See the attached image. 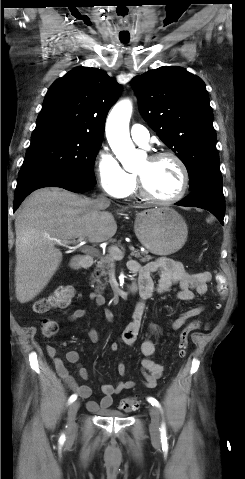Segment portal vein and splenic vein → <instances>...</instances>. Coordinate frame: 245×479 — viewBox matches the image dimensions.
Masks as SVG:
<instances>
[{
  "label": "portal vein and splenic vein",
  "instance_id": "obj_1",
  "mask_svg": "<svg viewBox=\"0 0 245 479\" xmlns=\"http://www.w3.org/2000/svg\"><path fill=\"white\" fill-rule=\"evenodd\" d=\"M83 239L84 238H80L79 241H82ZM53 240H55L60 245L71 244L72 243V241H67L65 243H62L60 240H57V239H53ZM128 248L132 253L135 252V247L134 246L130 245V246H128ZM109 253L113 257V259L121 260L124 257V248L121 247V249H120L117 246H113V247H110Z\"/></svg>",
  "mask_w": 245,
  "mask_h": 479
}]
</instances>
